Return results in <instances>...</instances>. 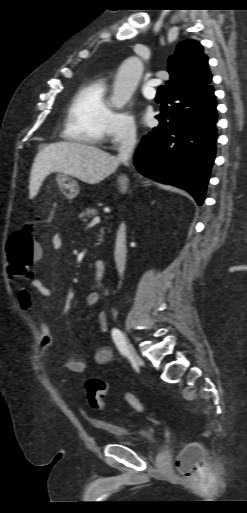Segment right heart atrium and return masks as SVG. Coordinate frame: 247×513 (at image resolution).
Instances as JSON below:
<instances>
[{
    "label": "right heart atrium",
    "instance_id": "1",
    "mask_svg": "<svg viewBox=\"0 0 247 513\" xmlns=\"http://www.w3.org/2000/svg\"><path fill=\"white\" fill-rule=\"evenodd\" d=\"M137 128L133 117L127 112H112L107 128L106 138L112 146L135 139Z\"/></svg>",
    "mask_w": 247,
    "mask_h": 513
}]
</instances>
